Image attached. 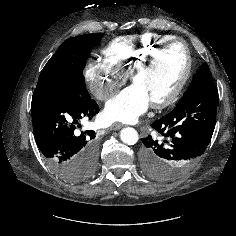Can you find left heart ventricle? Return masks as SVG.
Masks as SVG:
<instances>
[{
	"instance_id": "b2bd125f",
	"label": "left heart ventricle",
	"mask_w": 236,
	"mask_h": 236,
	"mask_svg": "<svg viewBox=\"0 0 236 236\" xmlns=\"http://www.w3.org/2000/svg\"><path fill=\"white\" fill-rule=\"evenodd\" d=\"M185 69V55L180 44L168 47L154 64L133 81L150 102L166 97L176 86Z\"/></svg>"
}]
</instances>
